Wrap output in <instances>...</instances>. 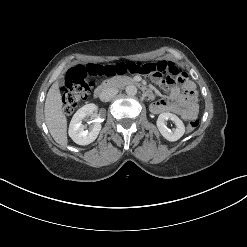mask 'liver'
Instances as JSON below:
<instances>
[{"instance_id":"obj_1","label":"liver","mask_w":247,"mask_h":247,"mask_svg":"<svg viewBox=\"0 0 247 247\" xmlns=\"http://www.w3.org/2000/svg\"><path fill=\"white\" fill-rule=\"evenodd\" d=\"M44 113L50 134L58 144L66 146L68 143L67 119L62 111L61 94L57 82L48 91Z\"/></svg>"}]
</instances>
